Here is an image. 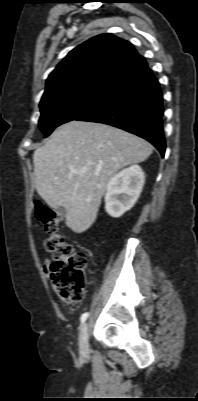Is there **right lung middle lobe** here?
Segmentation results:
<instances>
[{"label":"right lung middle lobe","mask_w":198,"mask_h":401,"mask_svg":"<svg viewBox=\"0 0 198 401\" xmlns=\"http://www.w3.org/2000/svg\"><path fill=\"white\" fill-rule=\"evenodd\" d=\"M107 86L88 85L41 99L39 128L45 137L59 125L74 120L96 105Z\"/></svg>","instance_id":"dd1d6c3e"}]
</instances>
